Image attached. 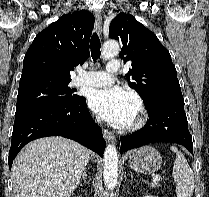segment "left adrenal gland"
I'll list each match as a JSON object with an SVG mask.
<instances>
[{
  "label": "left adrenal gland",
  "mask_w": 209,
  "mask_h": 197,
  "mask_svg": "<svg viewBox=\"0 0 209 197\" xmlns=\"http://www.w3.org/2000/svg\"><path fill=\"white\" fill-rule=\"evenodd\" d=\"M131 180H133V175L131 174Z\"/></svg>",
  "instance_id": "obj_1"
}]
</instances>
